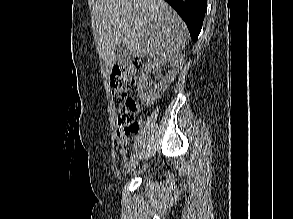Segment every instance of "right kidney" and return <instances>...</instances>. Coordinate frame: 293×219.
I'll return each mask as SVG.
<instances>
[{"mask_svg": "<svg viewBox=\"0 0 293 219\" xmlns=\"http://www.w3.org/2000/svg\"><path fill=\"white\" fill-rule=\"evenodd\" d=\"M184 55L180 53L171 54L160 58L150 59L143 65L141 75L138 82V94L143 103L150 104L160 98L162 93L167 89L169 84L176 78L179 70L184 63ZM169 63L171 70L164 77H160V82L149 83L148 87V74L152 70H160L161 66Z\"/></svg>", "mask_w": 293, "mask_h": 219, "instance_id": "ca27d5eb", "label": "right kidney"}]
</instances>
